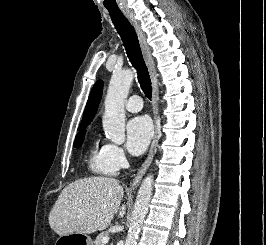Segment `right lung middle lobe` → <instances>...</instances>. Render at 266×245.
I'll return each instance as SVG.
<instances>
[{
	"label": "right lung middle lobe",
	"mask_w": 266,
	"mask_h": 245,
	"mask_svg": "<svg viewBox=\"0 0 266 245\" xmlns=\"http://www.w3.org/2000/svg\"><path fill=\"white\" fill-rule=\"evenodd\" d=\"M87 126H88V124L79 126V128H78L79 132L76 135L74 145H73L75 148L81 147V145L84 141V138H85V133H86L85 127H87Z\"/></svg>",
	"instance_id": "obj_1"
}]
</instances>
